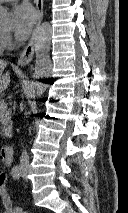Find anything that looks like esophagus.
Instances as JSON below:
<instances>
[{
	"label": "esophagus",
	"instance_id": "obj_1",
	"mask_svg": "<svg viewBox=\"0 0 128 213\" xmlns=\"http://www.w3.org/2000/svg\"><path fill=\"white\" fill-rule=\"evenodd\" d=\"M35 1H36L37 12H38V21H37V25L36 26H38L41 23L42 19H43V4H44V0H35ZM33 54H34V34L30 38L29 43L27 44V46L24 48V50L20 54V56H19V58L17 60V65L19 67L27 66L32 61Z\"/></svg>",
	"mask_w": 128,
	"mask_h": 213
}]
</instances>
